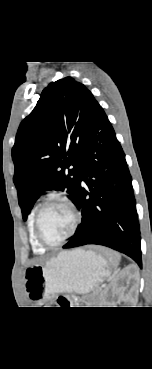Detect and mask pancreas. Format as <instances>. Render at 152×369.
I'll use <instances>...</instances> for the list:
<instances>
[{
    "label": "pancreas",
    "mask_w": 152,
    "mask_h": 369,
    "mask_svg": "<svg viewBox=\"0 0 152 369\" xmlns=\"http://www.w3.org/2000/svg\"><path fill=\"white\" fill-rule=\"evenodd\" d=\"M100 292L99 291H95L88 299L87 304L89 305H95L98 304V302L100 303Z\"/></svg>",
    "instance_id": "cf45deb5"
}]
</instances>
